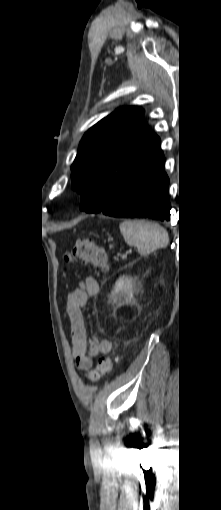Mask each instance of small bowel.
<instances>
[{
  "label": "small bowel",
  "instance_id": "1",
  "mask_svg": "<svg viewBox=\"0 0 221 510\" xmlns=\"http://www.w3.org/2000/svg\"><path fill=\"white\" fill-rule=\"evenodd\" d=\"M98 292V281L94 277H87L69 293L66 303L72 337V354L76 366L83 371L92 368L98 355H106L112 350V343L108 339L87 335L83 309L88 298L95 296Z\"/></svg>",
  "mask_w": 221,
  "mask_h": 510
}]
</instances>
